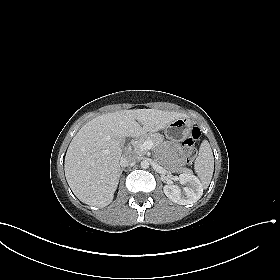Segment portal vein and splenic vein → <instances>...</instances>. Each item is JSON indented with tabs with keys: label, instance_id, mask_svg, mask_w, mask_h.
Segmentation results:
<instances>
[{
	"label": "portal vein and splenic vein",
	"instance_id": "obj_1",
	"mask_svg": "<svg viewBox=\"0 0 280 280\" xmlns=\"http://www.w3.org/2000/svg\"><path fill=\"white\" fill-rule=\"evenodd\" d=\"M153 146H154V143L152 141L148 140V141H145L141 145V149L142 150H150Z\"/></svg>",
	"mask_w": 280,
	"mask_h": 280
}]
</instances>
